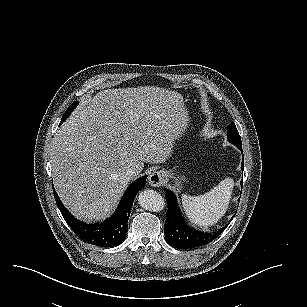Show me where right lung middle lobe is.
Wrapping results in <instances>:
<instances>
[{"label": "right lung middle lobe", "mask_w": 307, "mask_h": 307, "mask_svg": "<svg viewBox=\"0 0 307 307\" xmlns=\"http://www.w3.org/2000/svg\"><path fill=\"white\" fill-rule=\"evenodd\" d=\"M77 102H74L72 105H70V107L66 110V112L64 113L60 125L67 119V117L70 115V113L73 111V109L77 106Z\"/></svg>", "instance_id": "obj_1"}]
</instances>
